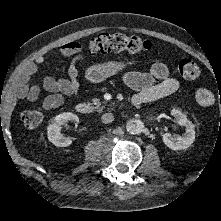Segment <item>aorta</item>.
Segmentation results:
<instances>
[{
    "label": "aorta",
    "mask_w": 221,
    "mask_h": 221,
    "mask_svg": "<svg viewBox=\"0 0 221 221\" xmlns=\"http://www.w3.org/2000/svg\"><path fill=\"white\" fill-rule=\"evenodd\" d=\"M126 130L131 134H140L144 130V123L140 119H129L126 122Z\"/></svg>",
    "instance_id": "obj_1"
}]
</instances>
